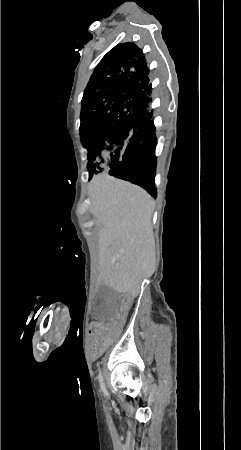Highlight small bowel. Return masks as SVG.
<instances>
[{
	"instance_id": "1",
	"label": "small bowel",
	"mask_w": 241,
	"mask_h": 450,
	"mask_svg": "<svg viewBox=\"0 0 241 450\" xmlns=\"http://www.w3.org/2000/svg\"><path fill=\"white\" fill-rule=\"evenodd\" d=\"M129 307H130V302L128 300H123L121 302V309H120L121 313L119 315L122 317L125 313L128 312V310H129L128 308ZM91 326L92 327L89 329V334L91 336H96L98 334V329L97 328H99V326H100L99 321H97V320L92 321ZM115 326L116 327H111L109 329V334L110 335L106 336L105 338L102 337L100 339L102 342L105 341L108 344L115 343V341H116L115 336L118 334V329L123 328L124 323H123V321L118 320V321H116ZM89 344H90L91 347H93V349H92V356L93 357H97L99 355V350L97 348L102 349L103 347H98L97 346L98 342L96 340H94V339L91 340Z\"/></svg>"
}]
</instances>
